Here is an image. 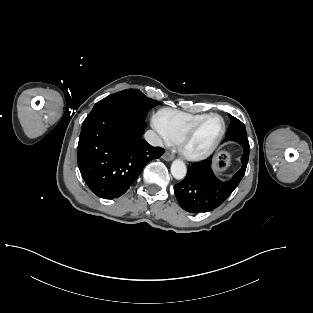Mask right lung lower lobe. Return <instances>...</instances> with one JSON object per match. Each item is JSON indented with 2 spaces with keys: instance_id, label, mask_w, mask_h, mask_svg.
I'll list each match as a JSON object with an SVG mask.
<instances>
[{
  "instance_id": "1",
  "label": "right lung lower lobe",
  "mask_w": 313,
  "mask_h": 313,
  "mask_svg": "<svg viewBox=\"0 0 313 313\" xmlns=\"http://www.w3.org/2000/svg\"><path fill=\"white\" fill-rule=\"evenodd\" d=\"M146 123L121 109H102L87 116L77 148L81 175L97 196L123 195L143 167L165 150L142 139Z\"/></svg>"
}]
</instances>
